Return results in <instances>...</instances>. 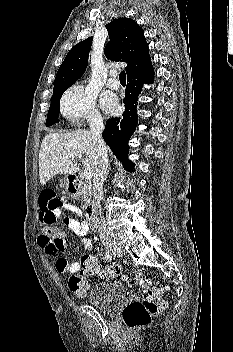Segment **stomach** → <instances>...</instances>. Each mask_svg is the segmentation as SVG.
<instances>
[{
  "label": "stomach",
  "instance_id": "1",
  "mask_svg": "<svg viewBox=\"0 0 233 352\" xmlns=\"http://www.w3.org/2000/svg\"><path fill=\"white\" fill-rule=\"evenodd\" d=\"M61 187H64V188H67L68 187V183H67V180L66 179H63L61 181Z\"/></svg>",
  "mask_w": 233,
  "mask_h": 352
}]
</instances>
